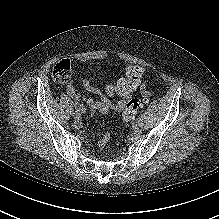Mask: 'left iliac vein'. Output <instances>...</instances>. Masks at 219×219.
I'll return each instance as SVG.
<instances>
[{
  "label": "left iliac vein",
  "instance_id": "obj_1",
  "mask_svg": "<svg viewBox=\"0 0 219 219\" xmlns=\"http://www.w3.org/2000/svg\"><path fill=\"white\" fill-rule=\"evenodd\" d=\"M145 124V118L144 117H139L136 121V126L138 127H143Z\"/></svg>",
  "mask_w": 219,
  "mask_h": 219
}]
</instances>
